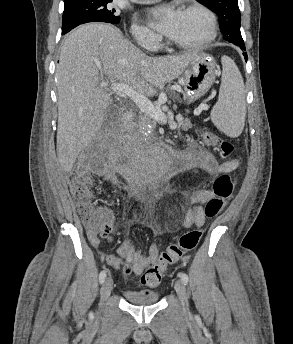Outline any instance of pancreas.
I'll use <instances>...</instances> for the list:
<instances>
[{
    "label": "pancreas",
    "mask_w": 293,
    "mask_h": 344,
    "mask_svg": "<svg viewBox=\"0 0 293 344\" xmlns=\"http://www.w3.org/2000/svg\"><path fill=\"white\" fill-rule=\"evenodd\" d=\"M170 97H172L174 100H179V96L175 93L170 92ZM137 123L138 124L136 125V128L139 130V132L144 133L155 128L157 120L145 113L139 116ZM179 124L184 129H188L189 127H191V123L188 119L180 121Z\"/></svg>",
    "instance_id": "1"
}]
</instances>
